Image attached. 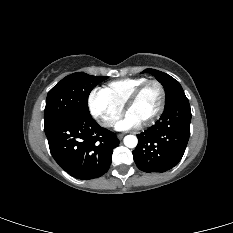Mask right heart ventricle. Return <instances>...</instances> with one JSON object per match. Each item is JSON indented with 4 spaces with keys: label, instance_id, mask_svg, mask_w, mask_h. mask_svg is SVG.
Masks as SVG:
<instances>
[{
    "label": "right heart ventricle",
    "instance_id": "e07e8e85",
    "mask_svg": "<svg viewBox=\"0 0 233 233\" xmlns=\"http://www.w3.org/2000/svg\"><path fill=\"white\" fill-rule=\"evenodd\" d=\"M147 80L144 77L115 80L108 83L102 90L111 101L123 107L130 94Z\"/></svg>",
    "mask_w": 233,
    "mask_h": 233
}]
</instances>
